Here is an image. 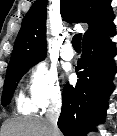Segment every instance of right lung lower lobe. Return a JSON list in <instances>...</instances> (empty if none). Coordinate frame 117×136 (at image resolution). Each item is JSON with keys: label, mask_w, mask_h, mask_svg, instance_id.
Instances as JSON below:
<instances>
[{"label": "right lung lower lobe", "mask_w": 117, "mask_h": 136, "mask_svg": "<svg viewBox=\"0 0 117 136\" xmlns=\"http://www.w3.org/2000/svg\"><path fill=\"white\" fill-rule=\"evenodd\" d=\"M109 35H115L113 24L83 40L77 84L63 89L58 127L65 136H85L104 121L117 72L113 60L117 51Z\"/></svg>", "instance_id": "right-lung-lower-lobe-1"}]
</instances>
